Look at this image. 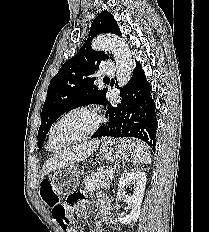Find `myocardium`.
I'll return each mask as SVG.
<instances>
[{"label":"myocardium","mask_w":209,"mask_h":232,"mask_svg":"<svg viewBox=\"0 0 209 232\" xmlns=\"http://www.w3.org/2000/svg\"><path fill=\"white\" fill-rule=\"evenodd\" d=\"M76 113H82V114L87 115L91 119V123L84 130H82L79 133L64 136L63 139L65 140L66 144L69 142H72V141L82 139L86 136L93 134L102 123V116L96 110H93V109H90V108L84 107V106H78V107H74V108L69 109L68 111H66L62 115H60L50 128L48 140H47V147L49 150H51V151L55 150V149L51 148L50 144H51L55 134L57 133L58 128L61 125V123L66 118H68L71 115L76 114Z\"/></svg>","instance_id":"obj_1"}]
</instances>
